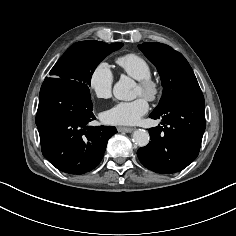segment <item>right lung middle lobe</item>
I'll use <instances>...</instances> for the list:
<instances>
[{
    "label": "right lung middle lobe",
    "mask_w": 236,
    "mask_h": 236,
    "mask_svg": "<svg viewBox=\"0 0 236 236\" xmlns=\"http://www.w3.org/2000/svg\"><path fill=\"white\" fill-rule=\"evenodd\" d=\"M123 43L106 44L88 40L73 44L50 71L51 79L67 80L78 91L90 96L91 77L97 65L110 53L120 49Z\"/></svg>",
    "instance_id": "1"
}]
</instances>
